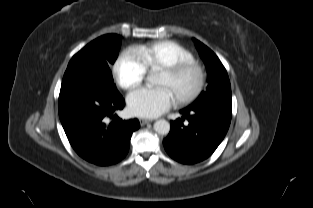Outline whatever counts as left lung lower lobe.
Returning a JSON list of instances; mask_svg holds the SVG:
<instances>
[{"label":"left lung lower lobe","instance_id":"1","mask_svg":"<svg viewBox=\"0 0 313 208\" xmlns=\"http://www.w3.org/2000/svg\"><path fill=\"white\" fill-rule=\"evenodd\" d=\"M163 140L166 152L176 161L194 164L207 159L224 139L231 122L232 104L208 101L180 111ZM187 119L188 123L184 124Z\"/></svg>","mask_w":313,"mask_h":208}]
</instances>
